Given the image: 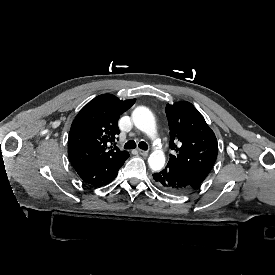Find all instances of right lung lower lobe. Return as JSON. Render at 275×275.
Masks as SVG:
<instances>
[{"instance_id": "1", "label": "right lung lower lobe", "mask_w": 275, "mask_h": 275, "mask_svg": "<svg viewBox=\"0 0 275 275\" xmlns=\"http://www.w3.org/2000/svg\"><path fill=\"white\" fill-rule=\"evenodd\" d=\"M128 157L129 154L120 160H104L75 170L84 182L98 187L114 180Z\"/></svg>"}]
</instances>
